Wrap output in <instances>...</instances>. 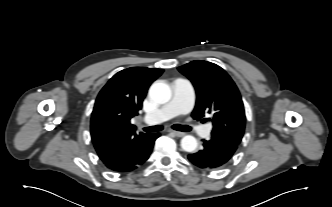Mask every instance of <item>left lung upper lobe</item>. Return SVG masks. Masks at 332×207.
Returning a JSON list of instances; mask_svg holds the SVG:
<instances>
[{"label": "left lung upper lobe", "mask_w": 332, "mask_h": 207, "mask_svg": "<svg viewBox=\"0 0 332 207\" xmlns=\"http://www.w3.org/2000/svg\"><path fill=\"white\" fill-rule=\"evenodd\" d=\"M178 70L191 80L196 90L192 117L200 120L205 113L211 114L212 136L238 146L246 118L241 95L230 76L218 65L202 60L192 61Z\"/></svg>", "instance_id": "left-lung-upper-lobe-1"}]
</instances>
